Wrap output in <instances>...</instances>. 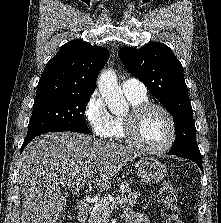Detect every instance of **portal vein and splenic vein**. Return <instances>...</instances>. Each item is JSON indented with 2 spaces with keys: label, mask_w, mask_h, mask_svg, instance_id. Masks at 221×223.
<instances>
[{
  "label": "portal vein and splenic vein",
  "mask_w": 221,
  "mask_h": 223,
  "mask_svg": "<svg viewBox=\"0 0 221 223\" xmlns=\"http://www.w3.org/2000/svg\"><path fill=\"white\" fill-rule=\"evenodd\" d=\"M86 184V180H81L79 182H77L76 184H67L69 188H74L75 190H79L80 188H82L84 185ZM119 203V200L116 199L113 201V205H117Z\"/></svg>",
  "instance_id": "portal-vein-and-splenic-vein-1"
}]
</instances>
